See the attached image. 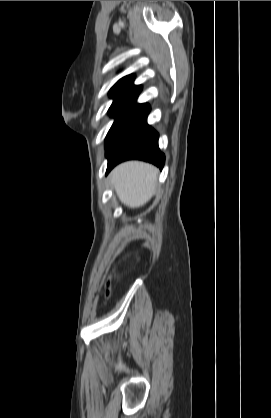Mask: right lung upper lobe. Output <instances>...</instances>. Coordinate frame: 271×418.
<instances>
[{
    "label": "right lung upper lobe",
    "instance_id": "1",
    "mask_svg": "<svg viewBox=\"0 0 271 418\" xmlns=\"http://www.w3.org/2000/svg\"><path fill=\"white\" fill-rule=\"evenodd\" d=\"M134 75L121 78L111 89L109 95L114 101H136L141 91V86L133 85Z\"/></svg>",
    "mask_w": 271,
    "mask_h": 418
}]
</instances>
